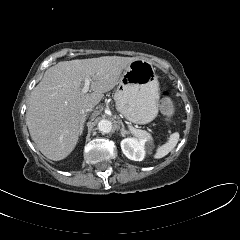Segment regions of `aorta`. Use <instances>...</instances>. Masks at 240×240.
<instances>
[{
  "instance_id": "aorta-1",
  "label": "aorta",
  "mask_w": 240,
  "mask_h": 240,
  "mask_svg": "<svg viewBox=\"0 0 240 240\" xmlns=\"http://www.w3.org/2000/svg\"><path fill=\"white\" fill-rule=\"evenodd\" d=\"M98 129L103 133H109L112 130V122L109 120L103 119L99 121Z\"/></svg>"
}]
</instances>
